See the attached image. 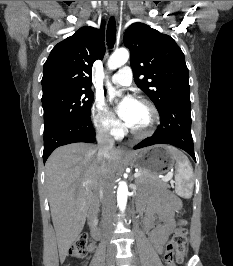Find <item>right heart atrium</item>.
<instances>
[{
  "label": "right heart atrium",
  "instance_id": "d8ad5b80",
  "mask_svg": "<svg viewBox=\"0 0 233 266\" xmlns=\"http://www.w3.org/2000/svg\"><path fill=\"white\" fill-rule=\"evenodd\" d=\"M92 119L96 129L104 135L118 136L121 133L119 121L109 110L102 97H97L94 100Z\"/></svg>",
  "mask_w": 233,
  "mask_h": 266
}]
</instances>
